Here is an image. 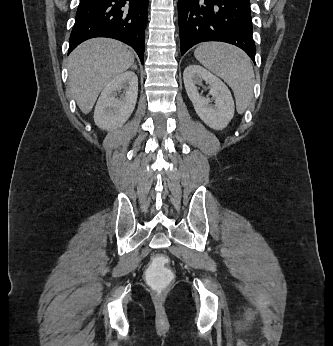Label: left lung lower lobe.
I'll return each mask as SVG.
<instances>
[{
  "instance_id": "1",
  "label": "left lung lower lobe",
  "mask_w": 333,
  "mask_h": 346,
  "mask_svg": "<svg viewBox=\"0 0 333 346\" xmlns=\"http://www.w3.org/2000/svg\"><path fill=\"white\" fill-rule=\"evenodd\" d=\"M181 55L205 41L244 50L255 63L250 0H178Z\"/></svg>"
}]
</instances>
